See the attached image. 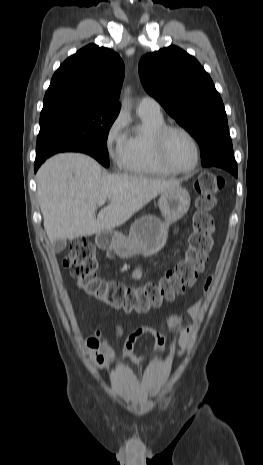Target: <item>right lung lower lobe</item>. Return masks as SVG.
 <instances>
[{"label": "right lung lower lobe", "mask_w": 263, "mask_h": 465, "mask_svg": "<svg viewBox=\"0 0 263 465\" xmlns=\"http://www.w3.org/2000/svg\"><path fill=\"white\" fill-rule=\"evenodd\" d=\"M42 163H39V162H36L35 161V171L38 169V167L41 165Z\"/></svg>", "instance_id": "right-lung-lower-lobe-1"}]
</instances>
